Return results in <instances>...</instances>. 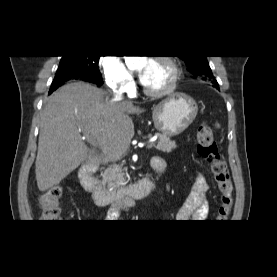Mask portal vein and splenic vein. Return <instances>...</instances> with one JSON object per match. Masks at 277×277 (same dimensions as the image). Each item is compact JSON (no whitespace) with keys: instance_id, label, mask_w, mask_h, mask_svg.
<instances>
[{"instance_id":"1","label":"portal vein and splenic vein","mask_w":277,"mask_h":277,"mask_svg":"<svg viewBox=\"0 0 277 277\" xmlns=\"http://www.w3.org/2000/svg\"><path fill=\"white\" fill-rule=\"evenodd\" d=\"M88 142H90V144L94 147H97V143L94 139L90 138V139H87ZM155 141L156 139L155 138H152L149 142V144L147 145V148L150 149L152 148L153 146H155Z\"/></svg>"}]
</instances>
